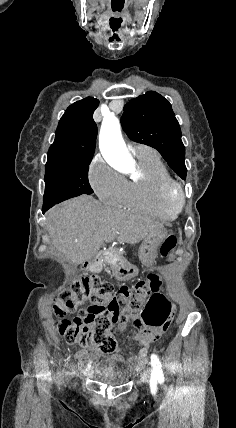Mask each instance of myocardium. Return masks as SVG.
Returning a JSON list of instances; mask_svg holds the SVG:
<instances>
[{
	"label": "myocardium",
	"instance_id": "1",
	"mask_svg": "<svg viewBox=\"0 0 236 428\" xmlns=\"http://www.w3.org/2000/svg\"><path fill=\"white\" fill-rule=\"evenodd\" d=\"M161 203L176 212L186 204V194L183 185L175 179L163 180L158 188Z\"/></svg>",
	"mask_w": 236,
	"mask_h": 428
}]
</instances>
